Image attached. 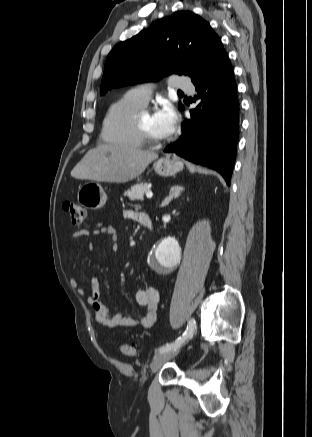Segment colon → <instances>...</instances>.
<instances>
[{"mask_svg":"<svg viewBox=\"0 0 312 437\" xmlns=\"http://www.w3.org/2000/svg\"><path fill=\"white\" fill-rule=\"evenodd\" d=\"M64 209L72 225H80L85 217V209L75 202L67 201ZM121 352L125 356H133L136 353L135 347L130 344L121 345Z\"/></svg>","mask_w":312,"mask_h":437,"instance_id":"5ec220e1","label":"colon"}]
</instances>
